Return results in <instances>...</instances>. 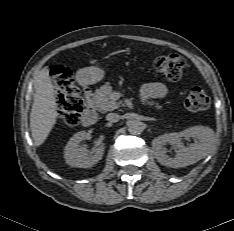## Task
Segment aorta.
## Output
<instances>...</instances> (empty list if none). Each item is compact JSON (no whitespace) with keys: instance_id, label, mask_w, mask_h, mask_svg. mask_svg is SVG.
I'll use <instances>...</instances> for the list:
<instances>
[{"instance_id":"762f6f07","label":"aorta","mask_w":234,"mask_h":231,"mask_svg":"<svg viewBox=\"0 0 234 231\" xmlns=\"http://www.w3.org/2000/svg\"><path fill=\"white\" fill-rule=\"evenodd\" d=\"M127 127H128L129 133L133 135L140 134L144 129L143 123L139 120L129 121L127 124Z\"/></svg>"}]
</instances>
